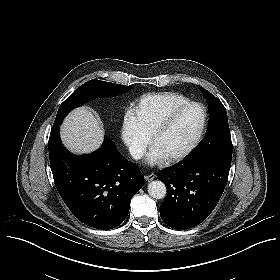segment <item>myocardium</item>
I'll list each match as a JSON object with an SVG mask.
<instances>
[{
	"mask_svg": "<svg viewBox=\"0 0 280 280\" xmlns=\"http://www.w3.org/2000/svg\"><path fill=\"white\" fill-rule=\"evenodd\" d=\"M197 106L199 108V119H198V124L195 129V131L188 137V139L185 141V143L182 145V147L175 153L169 156V159L171 161H177L180 158H182L192 147V145L196 142V140L199 138L203 125H204V110L201 106L193 104V103H188L185 107L186 108H192ZM165 129V127L159 128L149 139V146L150 148H153L156 144L157 139L159 138L160 134L162 131Z\"/></svg>",
	"mask_w": 280,
	"mask_h": 280,
	"instance_id": "f54148a6",
	"label": "myocardium"
}]
</instances>
